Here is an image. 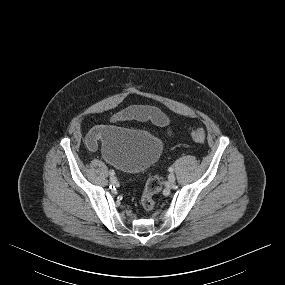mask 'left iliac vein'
Segmentation results:
<instances>
[{"mask_svg": "<svg viewBox=\"0 0 285 285\" xmlns=\"http://www.w3.org/2000/svg\"><path fill=\"white\" fill-rule=\"evenodd\" d=\"M175 180H176L175 175H174L173 173L169 174V176H168V181H169L171 184H173V183L175 182Z\"/></svg>", "mask_w": 285, "mask_h": 285, "instance_id": "left-iliac-vein-1", "label": "left iliac vein"}]
</instances>
